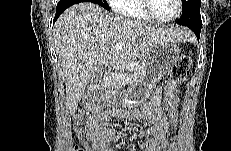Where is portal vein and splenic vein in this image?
Here are the masks:
<instances>
[{
	"instance_id": "portal-vein-and-splenic-vein-1",
	"label": "portal vein and splenic vein",
	"mask_w": 231,
	"mask_h": 151,
	"mask_svg": "<svg viewBox=\"0 0 231 151\" xmlns=\"http://www.w3.org/2000/svg\"><path fill=\"white\" fill-rule=\"evenodd\" d=\"M123 47V44L122 43H117L116 45H115V48L116 49H121Z\"/></svg>"
}]
</instances>
